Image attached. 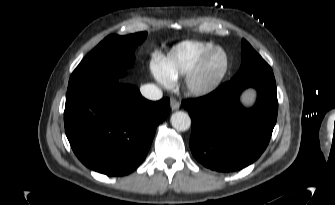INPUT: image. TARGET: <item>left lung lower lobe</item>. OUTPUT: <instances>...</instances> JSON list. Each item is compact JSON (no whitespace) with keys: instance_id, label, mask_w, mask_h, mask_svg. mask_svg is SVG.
<instances>
[{"instance_id":"left-lung-lower-lobe-1","label":"left lung lower lobe","mask_w":335,"mask_h":205,"mask_svg":"<svg viewBox=\"0 0 335 205\" xmlns=\"http://www.w3.org/2000/svg\"><path fill=\"white\" fill-rule=\"evenodd\" d=\"M255 88V106L245 109L241 92ZM192 119L189 146L205 167L234 172L257 160L266 149L277 120L275 81L262 78L231 79L212 93L182 102Z\"/></svg>"}]
</instances>
